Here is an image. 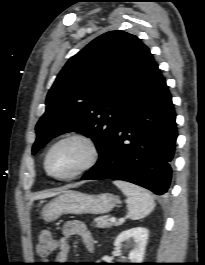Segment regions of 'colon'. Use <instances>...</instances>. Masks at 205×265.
Instances as JSON below:
<instances>
[{
    "instance_id": "1",
    "label": "colon",
    "mask_w": 205,
    "mask_h": 265,
    "mask_svg": "<svg viewBox=\"0 0 205 265\" xmlns=\"http://www.w3.org/2000/svg\"><path fill=\"white\" fill-rule=\"evenodd\" d=\"M58 247V242L49 229H42L36 239V250L40 257L48 258Z\"/></svg>"
}]
</instances>
